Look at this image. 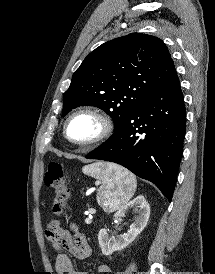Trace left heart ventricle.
I'll return each instance as SVG.
<instances>
[{"label": "left heart ventricle", "mask_w": 215, "mask_h": 274, "mask_svg": "<svg viewBox=\"0 0 215 274\" xmlns=\"http://www.w3.org/2000/svg\"><path fill=\"white\" fill-rule=\"evenodd\" d=\"M100 130L98 121L90 115L74 117L68 124V136L77 142H84L95 137Z\"/></svg>", "instance_id": "1"}]
</instances>
